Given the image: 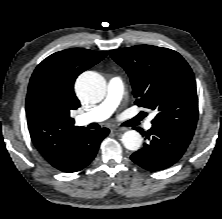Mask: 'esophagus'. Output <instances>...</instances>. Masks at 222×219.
I'll use <instances>...</instances> for the list:
<instances>
[{
    "label": "esophagus",
    "mask_w": 222,
    "mask_h": 219,
    "mask_svg": "<svg viewBox=\"0 0 222 219\" xmlns=\"http://www.w3.org/2000/svg\"><path fill=\"white\" fill-rule=\"evenodd\" d=\"M124 130H125L124 128H120V127H114V128H112V131L115 132V133H117V132H122V131H124Z\"/></svg>",
    "instance_id": "obj_1"
}]
</instances>
